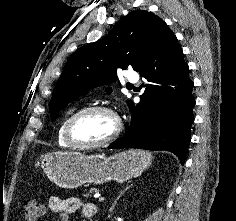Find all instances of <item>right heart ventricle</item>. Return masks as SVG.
<instances>
[{
	"label": "right heart ventricle",
	"mask_w": 236,
	"mask_h": 221,
	"mask_svg": "<svg viewBox=\"0 0 236 221\" xmlns=\"http://www.w3.org/2000/svg\"><path fill=\"white\" fill-rule=\"evenodd\" d=\"M74 113H70L68 114L60 123L59 127H58V131H57V142L58 145L61 148H70L71 146L66 142L65 138H64V128H65V124L67 122V120L70 118V116H72Z\"/></svg>",
	"instance_id": "e07e8e85"
}]
</instances>
